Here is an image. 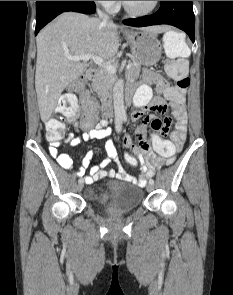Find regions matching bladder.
Instances as JSON below:
<instances>
[{"label": "bladder", "mask_w": 233, "mask_h": 295, "mask_svg": "<svg viewBox=\"0 0 233 295\" xmlns=\"http://www.w3.org/2000/svg\"><path fill=\"white\" fill-rule=\"evenodd\" d=\"M100 192L107 193L112 199L103 204L104 208L113 213H122L133 210L142 201V190L129 183L110 181L99 188L89 190V196L95 202L100 203Z\"/></svg>", "instance_id": "31cf9c89"}]
</instances>
